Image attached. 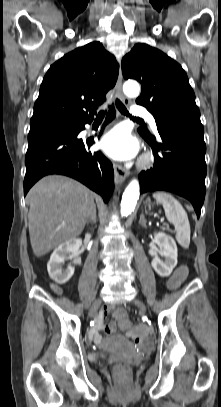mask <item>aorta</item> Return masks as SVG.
<instances>
[{
  "label": "aorta",
  "mask_w": 221,
  "mask_h": 407,
  "mask_svg": "<svg viewBox=\"0 0 221 407\" xmlns=\"http://www.w3.org/2000/svg\"><path fill=\"white\" fill-rule=\"evenodd\" d=\"M124 93L129 97H137L140 86L136 81H127L123 85ZM140 186L137 180H132L126 187L121 200V215L128 216L134 210L140 194Z\"/></svg>",
  "instance_id": "1"
}]
</instances>
